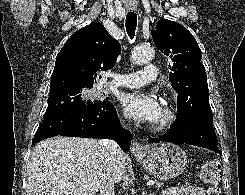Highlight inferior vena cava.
I'll return each instance as SVG.
<instances>
[{"instance_id":"inferior-vena-cava-1","label":"inferior vena cava","mask_w":245,"mask_h":195,"mask_svg":"<svg viewBox=\"0 0 245 195\" xmlns=\"http://www.w3.org/2000/svg\"><path fill=\"white\" fill-rule=\"evenodd\" d=\"M102 145L105 148V170L100 180V195H115L114 181L111 178L112 164L116 153L120 150L118 144L113 140H103Z\"/></svg>"}]
</instances>
